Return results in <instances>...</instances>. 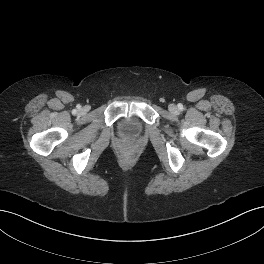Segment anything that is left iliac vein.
I'll return each instance as SVG.
<instances>
[{"label": "left iliac vein", "mask_w": 264, "mask_h": 264, "mask_svg": "<svg viewBox=\"0 0 264 264\" xmlns=\"http://www.w3.org/2000/svg\"><path fill=\"white\" fill-rule=\"evenodd\" d=\"M169 110L172 112V113H176L178 111L177 107L174 105V104H171L169 106Z\"/></svg>", "instance_id": "left-iliac-vein-1"}]
</instances>
